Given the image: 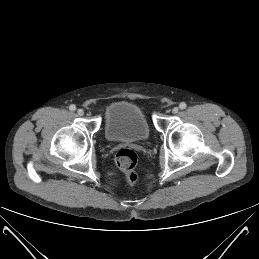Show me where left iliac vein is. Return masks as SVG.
I'll list each match as a JSON object with an SVG mask.
<instances>
[{"label":"left iliac vein","mask_w":259,"mask_h":259,"mask_svg":"<svg viewBox=\"0 0 259 259\" xmlns=\"http://www.w3.org/2000/svg\"><path fill=\"white\" fill-rule=\"evenodd\" d=\"M178 111H179V108H178V107H174V108L172 109V113H173V114H177Z\"/></svg>","instance_id":"4c4485c4"}]
</instances>
